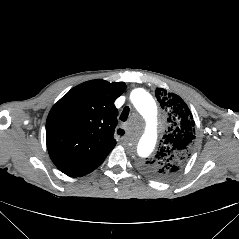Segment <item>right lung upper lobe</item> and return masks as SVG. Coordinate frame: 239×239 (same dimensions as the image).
<instances>
[{"mask_svg": "<svg viewBox=\"0 0 239 239\" xmlns=\"http://www.w3.org/2000/svg\"><path fill=\"white\" fill-rule=\"evenodd\" d=\"M123 82H84L71 89L50 110L46 142L55 166L71 177L97 168L115 147L113 138L118 110L114 101Z\"/></svg>", "mask_w": 239, "mask_h": 239, "instance_id": "right-lung-upper-lobe-1", "label": "right lung upper lobe"}]
</instances>
